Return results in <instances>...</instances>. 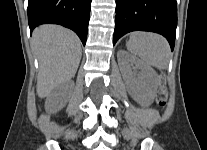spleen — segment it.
I'll return each instance as SVG.
<instances>
[{
    "label": "spleen",
    "mask_w": 207,
    "mask_h": 150,
    "mask_svg": "<svg viewBox=\"0 0 207 150\" xmlns=\"http://www.w3.org/2000/svg\"><path fill=\"white\" fill-rule=\"evenodd\" d=\"M127 49L147 65L160 70L168 67L170 47L167 40L159 34L135 32L127 42Z\"/></svg>",
    "instance_id": "1"
}]
</instances>
